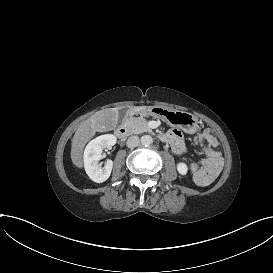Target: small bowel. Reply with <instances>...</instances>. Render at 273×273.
I'll list each match as a JSON object with an SVG mask.
<instances>
[{
  "label": "small bowel",
  "instance_id": "obj_1",
  "mask_svg": "<svg viewBox=\"0 0 273 273\" xmlns=\"http://www.w3.org/2000/svg\"><path fill=\"white\" fill-rule=\"evenodd\" d=\"M162 137L165 142L172 145L173 150L176 151L177 153L182 154L185 152L186 147L184 144H182L184 141V133L182 130L173 129L163 134ZM199 140L205 141L207 143V146L205 148L206 155L215 154L220 157L219 153L213 149V146L216 145L217 141L210 129L208 128L202 129L199 135ZM191 170L194 173V175H196L200 171V169L197 166H191Z\"/></svg>",
  "mask_w": 273,
  "mask_h": 273
}]
</instances>
